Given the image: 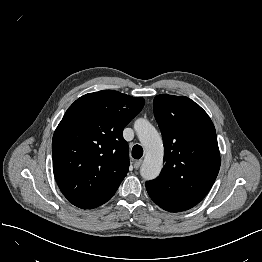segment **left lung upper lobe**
I'll list each match as a JSON object with an SVG mask.
<instances>
[{
    "label": "left lung upper lobe",
    "instance_id": "left-lung-upper-lobe-1",
    "mask_svg": "<svg viewBox=\"0 0 262 262\" xmlns=\"http://www.w3.org/2000/svg\"><path fill=\"white\" fill-rule=\"evenodd\" d=\"M154 114L164 141V167L146 182L151 199L169 212L198 204L220 168L215 127L207 113L185 96L157 95Z\"/></svg>",
    "mask_w": 262,
    "mask_h": 262
}]
</instances>
